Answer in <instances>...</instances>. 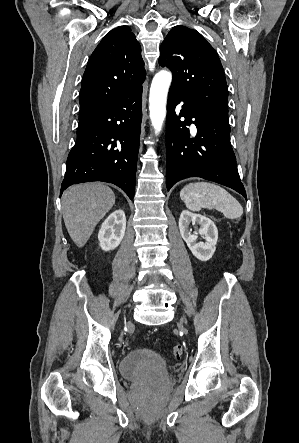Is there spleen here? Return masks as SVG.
<instances>
[{"label":"spleen","mask_w":299,"mask_h":443,"mask_svg":"<svg viewBox=\"0 0 299 443\" xmlns=\"http://www.w3.org/2000/svg\"><path fill=\"white\" fill-rule=\"evenodd\" d=\"M180 198L192 211L216 208L228 219H237L243 214V208L236 198L213 183H190L180 191Z\"/></svg>","instance_id":"3e777b00"}]
</instances>
